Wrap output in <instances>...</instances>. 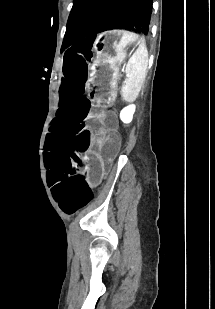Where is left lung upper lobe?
Instances as JSON below:
<instances>
[{
    "mask_svg": "<svg viewBox=\"0 0 215 309\" xmlns=\"http://www.w3.org/2000/svg\"><path fill=\"white\" fill-rule=\"evenodd\" d=\"M151 12L152 0H74L62 50L116 28L148 34Z\"/></svg>",
    "mask_w": 215,
    "mask_h": 309,
    "instance_id": "1",
    "label": "left lung upper lobe"
}]
</instances>
